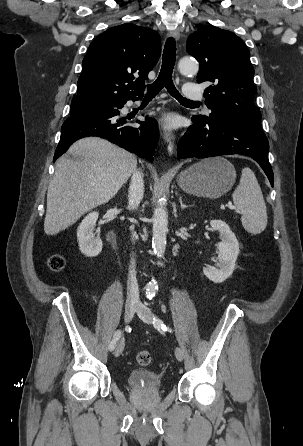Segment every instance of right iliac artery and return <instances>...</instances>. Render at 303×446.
<instances>
[{
    "label": "right iliac artery",
    "instance_id": "82829eb1",
    "mask_svg": "<svg viewBox=\"0 0 303 446\" xmlns=\"http://www.w3.org/2000/svg\"><path fill=\"white\" fill-rule=\"evenodd\" d=\"M121 333H122L121 330H117L114 333L113 339H112V341L110 342V345H109V350L110 351H113L115 349L116 344H117L119 338L121 337Z\"/></svg>",
    "mask_w": 303,
    "mask_h": 446
}]
</instances>
